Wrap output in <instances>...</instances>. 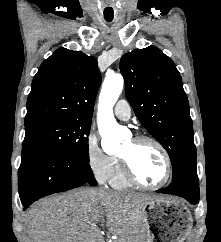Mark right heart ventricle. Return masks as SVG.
Returning a JSON list of instances; mask_svg holds the SVG:
<instances>
[{
  "mask_svg": "<svg viewBox=\"0 0 221 242\" xmlns=\"http://www.w3.org/2000/svg\"><path fill=\"white\" fill-rule=\"evenodd\" d=\"M114 166L109 178L112 187L117 189H127L133 187V183L126 176L119 157H114Z\"/></svg>",
  "mask_w": 221,
  "mask_h": 242,
  "instance_id": "right-heart-ventricle-1",
  "label": "right heart ventricle"
}]
</instances>
